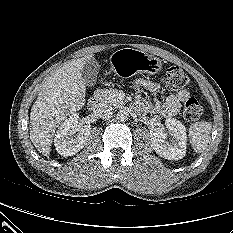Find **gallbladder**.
Returning <instances> with one entry per match:
<instances>
[{
    "label": "gallbladder",
    "mask_w": 233,
    "mask_h": 233,
    "mask_svg": "<svg viewBox=\"0 0 233 233\" xmlns=\"http://www.w3.org/2000/svg\"><path fill=\"white\" fill-rule=\"evenodd\" d=\"M99 69L100 65L94 57L86 61L82 69V78L87 86L95 85Z\"/></svg>",
    "instance_id": "obj_1"
}]
</instances>
